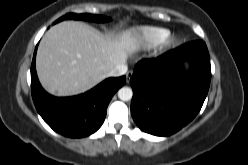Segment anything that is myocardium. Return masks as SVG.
<instances>
[{"label":"myocardium","instance_id":"1","mask_svg":"<svg viewBox=\"0 0 248 165\" xmlns=\"http://www.w3.org/2000/svg\"><path fill=\"white\" fill-rule=\"evenodd\" d=\"M177 43V37L174 35H168L165 40L161 43V48L168 49Z\"/></svg>","mask_w":248,"mask_h":165}]
</instances>
